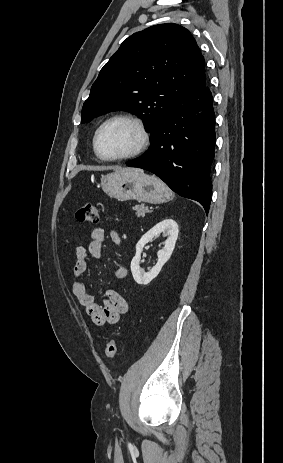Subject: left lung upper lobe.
<instances>
[{
	"label": "left lung upper lobe",
	"instance_id": "left-lung-upper-lobe-1",
	"mask_svg": "<svg viewBox=\"0 0 283 463\" xmlns=\"http://www.w3.org/2000/svg\"><path fill=\"white\" fill-rule=\"evenodd\" d=\"M205 84L204 58L190 32L174 23L134 33L101 69L82 109V123L125 110L153 134L187 96Z\"/></svg>",
	"mask_w": 283,
	"mask_h": 463
}]
</instances>
